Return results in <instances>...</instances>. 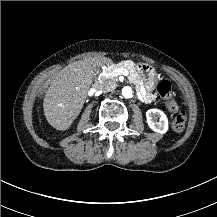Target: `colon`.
Here are the masks:
<instances>
[{"label": "colon", "mask_w": 217, "mask_h": 217, "mask_svg": "<svg viewBox=\"0 0 217 217\" xmlns=\"http://www.w3.org/2000/svg\"><path fill=\"white\" fill-rule=\"evenodd\" d=\"M157 92L166 104L167 108L175 113L172 127L175 131H182L187 122V114L178 106L172 98V85L168 80H161L157 86Z\"/></svg>", "instance_id": "5ec220e1"}]
</instances>
